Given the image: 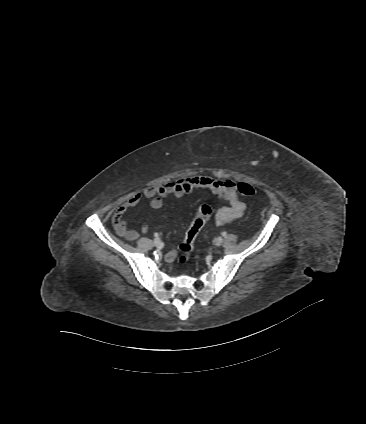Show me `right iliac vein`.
Returning <instances> with one entry per match:
<instances>
[{"instance_id":"63e3f726","label":"right iliac vein","mask_w":366,"mask_h":424,"mask_svg":"<svg viewBox=\"0 0 366 424\" xmlns=\"http://www.w3.org/2000/svg\"><path fill=\"white\" fill-rule=\"evenodd\" d=\"M153 243L156 247H160L162 245V241L159 238H155Z\"/></svg>"}]
</instances>
